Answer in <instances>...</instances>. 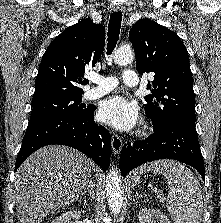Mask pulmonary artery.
<instances>
[{
  "label": "pulmonary artery",
  "instance_id": "1",
  "mask_svg": "<svg viewBox=\"0 0 221 223\" xmlns=\"http://www.w3.org/2000/svg\"><path fill=\"white\" fill-rule=\"evenodd\" d=\"M90 80L97 84V86L86 92L85 97L87 99L98 98L117 86V80L113 76L92 75L90 76ZM122 81L125 85L133 87L138 85L139 78L135 70L127 69L122 73Z\"/></svg>",
  "mask_w": 221,
  "mask_h": 223
}]
</instances>
